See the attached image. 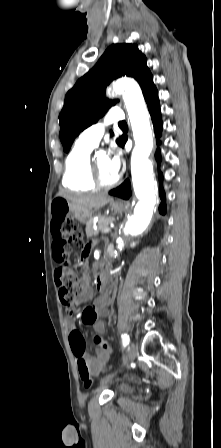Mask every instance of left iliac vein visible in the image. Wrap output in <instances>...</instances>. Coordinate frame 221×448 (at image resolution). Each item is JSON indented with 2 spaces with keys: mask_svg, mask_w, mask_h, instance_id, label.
Instances as JSON below:
<instances>
[{
  "mask_svg": "<svg viewBox=\"0 0 221 448\" xmlns=\"http://www.w3.org/2000/svg\"><path fill=\"white\" fill-rule=\"evenodd\" d=\"M137 353H138V349H137L136 345L134 343H132L131 346H130V350H129L128 355L123 360L122 366L123 367L128 366L135 359V357L137 356ZM112 377L113 376H108V377L104 378L101 381V386H104L108 382H110Z\"/></svg>",
  "mask_w": 221,
  "mask_h": 448,
  "instance_id": "left-iliac-vein-1",
  "label": "left iliac vein"
}]
</instances>
